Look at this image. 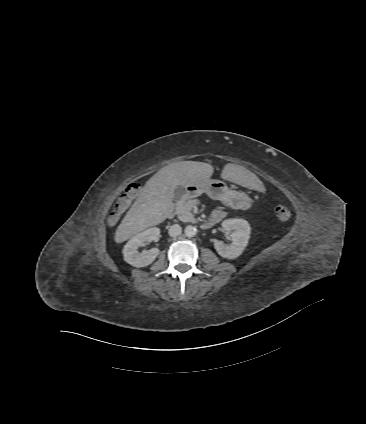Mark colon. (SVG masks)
<instances>
[{"instance_id":"1","label":"colon","mask_w":366,"mask_h":424,"mask_svg":"<svg viewBox=\"0 0 366 424\" xmlns=\"http://www.w3.org/2000/svg\"><path fill=\"white\" fill-rule=\"evenodd\" d=\"M141 185L139 183L130 184L124 191V193L118 198L113 210L110 214V221L115 223L119 220L123 212L128 208L131 201L139 193ZM276 216L280 220H288L291 217L290 210L283 205H278L275 209Z\"/></svg>"}]
</instances>
